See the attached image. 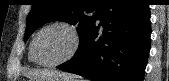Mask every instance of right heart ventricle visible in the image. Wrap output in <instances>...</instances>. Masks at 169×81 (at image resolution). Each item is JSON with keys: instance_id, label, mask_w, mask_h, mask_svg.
I'll use <instances>...</instances> for the list:
<instances>
[{"instance_id": "obj_1", "label": "right heart ventricle", "mask_w": 169, "mask_h": 81, "mask_svg": "<svg viewBox=\"0 0 169 81\" xmlns=\"http://www.w3.org/2000/svg\"><path fill=\"white\" fill-rule=\"evenodd\" d=\"M28 60L31 64H37V62L35 61V59L32 55V42L30 43V46H29Z\"/></svg>"}]
</instances>
